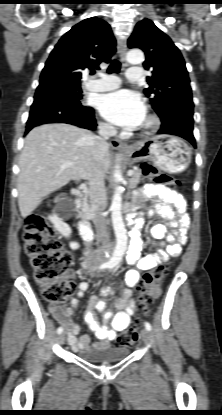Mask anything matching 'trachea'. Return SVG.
Listing matches in <instances>:
<instances>
[{
    "mask_svg": "<svg viewBox=\"0 0 222 415\" xmlns=\"http://www.w3.org/2000/svg\"><path fill=\"white\" fill-rule=\"evenodd\" d=\"M120 67L121 64L119 62V60L117 58L113 59L107 69L108 73H113V72H119L120 71ZM91 74H94V72H92Z\"/></svg>",
    "mask_w": 222,
    "mask_h": 415,
    "instance_id": "1",
    "label": "trachea"
}]
</instances>
